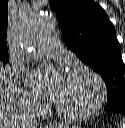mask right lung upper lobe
<instances>
[{
	"label": "right lung upper lobe",
	"mask_w": 125,
	"mask_h": 128,
	"mask_svg": "<svg viewBox=\"0 0 125 128\" xmlns=\"http://www.w3.org/2000/svg\"><path fill=\"white\" fill-rule=\"evenodd\" d=\"M8 26V0H0V59H9L6 44Z\"/></svg>",
	"instance_id": "1"
}]
</instances>
